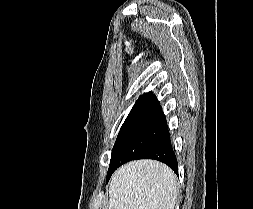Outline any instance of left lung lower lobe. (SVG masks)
<instances>
[{"instance_id":"obj_1","label":"left lung lower lobe","mask_w":253,"mask_h":209,"mask_svg":"<svg viewBox=\"0 0 253 209\" xmlns=\"http://www.w3.org/2000/svg\"><path fill=\"white\" fill-rule=\"evenodd\" d=\"M139 159H154V160L161 161L165 163L166 165H168L178 175V163H177L176 155L171 145L168 127L155 140H153L150 144H148L138 154L127 156L121 160L112 162L109 165L106 182L109 181L111 175L121 165L129 161L139 160Z\"/></svg>"}]
</instances>
